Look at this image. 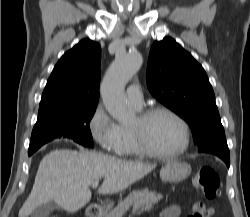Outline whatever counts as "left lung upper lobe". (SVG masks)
<instances>
[{"label": "left lung upper lobe", "mask_w": 250, "mask_h": 217, "mask_svg": "<svg viewBox=\"0 0 250 217\" xmlns=\"http://www.w3.org/2000/svg\"><path fill=\"white\" fill-rule=\"evenodd\" d=\"M147 86L157 100L189 124L198 147L225 135L203 67L174 39L165 37L153 43Z\"/></svg>", "instance_id": "left-lung-upper-lobe-1"}]
</instances>
